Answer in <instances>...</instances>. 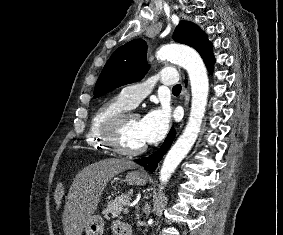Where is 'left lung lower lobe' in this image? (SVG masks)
Instances as JSON below:
<instances>
[{"instance_id":"obj_1","label":"left lung lower lobe","mask_w":283,"mask_h":235,"mask_svg":"<svg viewBox=\"0 0 283 235\" xmlns=\"http://www.w3.org/2000/svg\"><path fill=\"white\" fill-rule=\"evenodd\" d=\"M212 65L213 64L207 66L208 70L210 72L213 71ZM174 137H175V130L172 128L170 130L168 136L166 137L164 143L158 149V151L154 152L153 154H151L148 157L137 159V160H135V162L137 164H140L141 166H143L148 171H154L157 168V164L160 162V160L162 159L163 155L165 154L167 149L170 147L172 141L174 140Z\"/></svg>"}]
</instances>
